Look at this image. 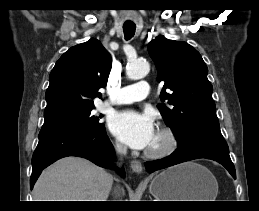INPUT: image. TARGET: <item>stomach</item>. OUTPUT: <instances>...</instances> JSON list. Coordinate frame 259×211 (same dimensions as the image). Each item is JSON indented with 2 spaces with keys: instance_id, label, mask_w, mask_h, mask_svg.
I'll list each match as a JSON object with an SVG mask.
<instances>
[{
  "instance_id": "obj_1",
  "label": "stomach",
  "mask_w": 259,
  "mask_h": 211,
  "mask_svg": "<svg viewBox=\"0 0 259 211\" xmlns=\"http://www.w3.org/2000/svg\"><path fill=\"white\" fill-rule=\"evenodd\" d=\"M149 191L158 201H215L218 183L207 168L187 162L156 175Z\"/></svg>"
}]
</instances>
